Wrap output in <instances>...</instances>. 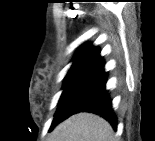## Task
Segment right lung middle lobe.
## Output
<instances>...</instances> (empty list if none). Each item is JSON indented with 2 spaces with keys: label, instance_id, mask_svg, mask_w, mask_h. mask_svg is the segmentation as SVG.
I'll return each mask as SVG.
<instances>
[{
  "label": "right lung middle lobe",
  "instance_id": "1",
  "mask_svg": "<svg viewBox=\"0 0 155 141\" xmlns=\"http://www.w3.org/2000/svg\"><path fill=\"white\" fill-rule=\"evenodd\" d=\"M94 74V72L90 71L68 72L64 80L63 93L60 97L58 109L55 113L51 127L60 122L65 104Z\"/></svg>",
  "mask_w": 155,
  "mask_h": 141
}]
</instances>
